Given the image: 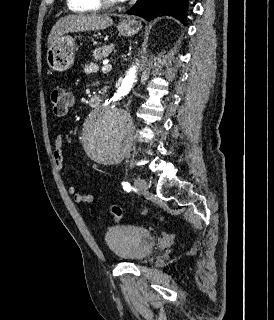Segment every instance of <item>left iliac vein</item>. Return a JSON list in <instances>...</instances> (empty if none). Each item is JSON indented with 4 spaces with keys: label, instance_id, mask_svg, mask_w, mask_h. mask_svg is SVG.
Instances as JSON below:
<instances>
[{
    "label": "left iliac vein",
    "instance_id": "obj_1",
    "mask_svg": "<svg viewBox=\"0 0 274 320\" xmlns=\"http://www.w3.org/2000/svg\"><path fill=\"white\" fill-rule=\"evenodd\" d=\"M134 185L142 193H146L148 191V183L142 178H136Z\"/></svg>",
    "mask_w": 274,
    "mask_h": 320
}]
</instances>
